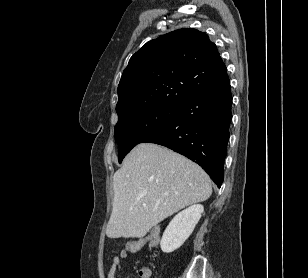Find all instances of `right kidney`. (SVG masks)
Listing matches in <instances>:
<instances>
[{
	"label": "right kidney",
	"instance_id": "1",
	"mask_svg": "<svg viewBox=\"0 0 308 278\" xmlns=\"http://www.w3.org/2000/svg\"><path fill=\"white\" fill-rule=\"evenodd\" d=\"M203 212V205L196 204L178 213L163 233L160 241L161 250L171 253L181 247L192 234Z\"/></svg>",
	"mask_w": 308,
	"mask_h": 278
}]
</instances>
